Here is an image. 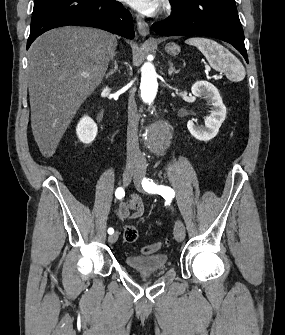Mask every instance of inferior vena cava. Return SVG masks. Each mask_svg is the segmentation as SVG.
<instances>
[{"label":"inferior vena cava","mask_w":285,"mask_h":335,"mask_svg":"<svg viewBox=\"0 0 285 335\" xmlns=\"http://www.w3.org/2000/svg\"><path fill=\"white\" fill-rule=\"evenodd\" d=\"M134 94V90H130L128 100L127 162H136L137 164V162H143L144 156H142L138 144L139 116Z\"/></svg>","instance_id":"602c4592"}]
</instances>
